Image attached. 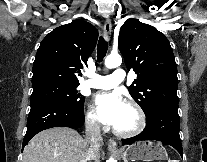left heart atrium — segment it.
<instances>
[{
  "mask_svg": "<svg viewBox=\"0 0 207 162\" xmlns=\"http://www.w3.org/2000/svg\"><path fill=\"white\" fill-rule=\"evenodd\" d=\"M95 104L100 120L114 126L125 103L117 92H112L98 95Z\"/></svg>",
  "mask_w": 207,
  "mask_h": 162,
  "instance_id": "1",
  "label": "left heart atrium"
}]
</instances>
